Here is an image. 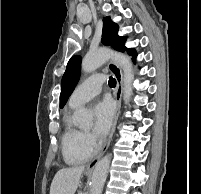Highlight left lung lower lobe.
Returning a JSON list of instances; mask_svg holds the SVG:
<instances>
[{
	"label": "left lung lower lobe",
	"mask_w": 201,
	"mask_h": 194,
	"mask_svg": "<svg viewBox=\"0 0 201 194\" xmlns=\"http://www.w3.org/2000/svg\"><path fill=\"white\" fill-rule=\"evenodd\" d=\"M128 54H130V55L132 54L134 59L137 56V54H136V52L134 50H130Z\"/></svg>",
	"instance_id": "0a47b994"
}]
</instances>
